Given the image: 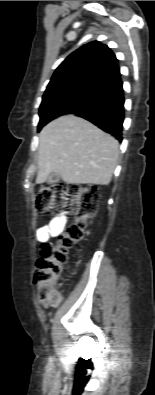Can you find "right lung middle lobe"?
Wrapping results in <instances>:
<instances>
[{"mask_svg": "<svg viewBox=\"0 0 155 395\" xmlns=\"http://www.w3.org/2000/svg\"><path fill=\"white\" fill-rule=\"evenodd\" d=\"M101 88L96 84L78 81L47 87L39 109L38 130H41L49 121L68 114L85 103Z\"/></svg>", "mask_w": 155, "mask_h": 395, "instance_id": "obj_1", "label": "right lung middle lobe"}]
</instances>
